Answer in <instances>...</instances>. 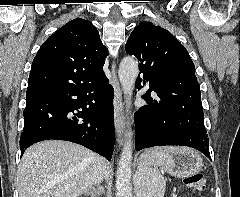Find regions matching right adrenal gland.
Listing matches in <instances>:
<instances>
[{"label": "right adrenal gland", "instance_id": "1", "mask_svg": "<svg viewBox=\"0 0 240 197\" xmlns=\"http://www.w3.org/2000/svg\"><path fill=\"white\" fill-rule=\"evenodd\" d=\"M103 190L99 187L93 188L91 191L87 192L85 195H89L91 197H99Z\"/></svg>", "mask_w": 240, "mask_h": 197}]
</instances>
